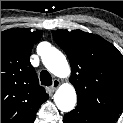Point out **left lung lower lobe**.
<instances>
[{
	"label": "left lung lower lobe",
	"mask_w": 123,
	"mask_h": 123,
	"mask_svg": "<svg viewBox=\"0 0 123 123\" xmlns=\"http://www.w3.org/2000/svg\"><path fill=\"white\" fill-rule=\"evenodd\" d=\"M117 116L77 103L76 108L65 114L63 123H114Z\"/></svg>",
	"instance_id": "0a47b994"
}]
</instances>
